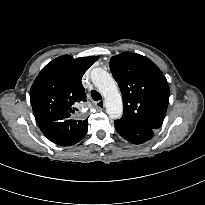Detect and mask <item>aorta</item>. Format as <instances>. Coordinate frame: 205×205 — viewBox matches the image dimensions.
<instances>
[{
    "instance_id": "1",
    "label": "aorta",
    "mask_w": 205,
    "mask_h": 205,
    "mask_svg": "<svg viewBox=\"0 0 205 205\" xmlns=\"http://www.w3.org/2000/svg\"><path fill=\"white\" fill-rule=\"evenodd\" d=\"M91 80L105 99L106 112L112 119H119L123 113L122 97L112 76L102 68L91 71Z\"/></svg>"
}]
</instances>
